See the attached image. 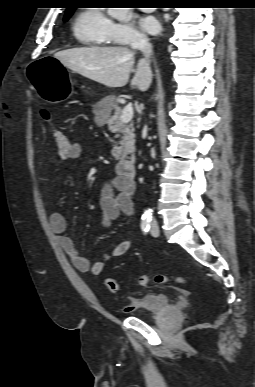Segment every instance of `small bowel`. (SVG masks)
Returning a JSON list of instances; mask_svg holds the SVG:
<instances>
[{
	"label": "small bowel",
	"mask_w": 255,
	"mask_h": 387,
	"mask_svg": "<svg viewBox=\"0 0 255 387\" xmlns=\"http://www.w3.org/2000/svg\"><path fill=\"white\" fill-rule=\"evenodd\" d=\"M83 151L82 145L78 142H71L70 149L66 154H61L64 161L77 159ZM132 183L125 182L115 177L104 185L99 201L102 215V223L105 228H110L120 214L131 215L133 213ZM49 223L53 233L64 252L69 257L72 265L80 272H91L94 275L102 273L105 263L123 256L132 247V241L121 239L115 242L112 247L102 253V260L90 263L89 259L82 256L76 248L72 239L67 236V222L60 212H53L49 217ZM139 304V300L132 298L126 306V310H133Z\"/></svg>",
	"instance_id": "small-bowel-1"
}]
</instances>
